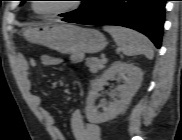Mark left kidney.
Listing matches in <instances>:
<instances>
[{
  "instance_id": "1",
  "label": "left kidney",
  "mask_w": 182,
  "mask_h": 140,
  "mask_svg": "<svg viewBox=\"0 0 182 140\" xmlns=\"http://www.w3.org/2000/svg\"><path fill=\"white\" fill-rule=\"evenodd\" d=\"M116 75L127 76L125 84L116 88L119 92V99L110 102L108 106L103 107L102 112H98L95 107V100L98 92L103 89L109 79ZM143 78V72L140 68L133 64L115 62L109 67L103 75L96 79L88 93L86 104V117L90 123H103L115 118L118 114L125 110L131 99L138 91Z\"/></svg>"
}]
</instances>
